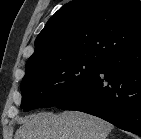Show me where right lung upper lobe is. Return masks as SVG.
I'll list each match as a JSON object with an SVG mask.
<instances>
[{
  "label": "right lung upper lobe",
  "mask_w": 141,
  "mask_h": 139,
  "mask_svg": "<svg viewBox=\"0 0 141 139\" xmlns=\"http://www.w3.org/2000/svg\"><path fill=\"white\" fill-rule=\"evenodd\" d=\"M141 43V1L74 0L60 8L35 40L26 70L77 57L106 59Z\"/></svg>",
  "instance_id": "obj_1"
}]
</instances>
